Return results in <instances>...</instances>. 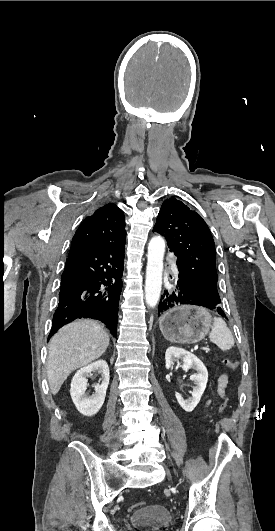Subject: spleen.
<instances>
[{
    "mask_svg": "<svg viewBox=\"0 0 275 531\" xmlns=\"http://www.w3.org/2000/svg\"><path fill=\"white\" fill-rule=\"evenodd\" d=\"M211 329L212 331L209 335V339L212 343H215L221 351H228V349L234 347L233 335L230 329H228L224 319H221V317H214Z\"/></svg>",
    "mask_w": 275,
    "mask_h": 531,
    "instance_id": "spleen-1",
    "label": "spleen"
}]
</instances>
